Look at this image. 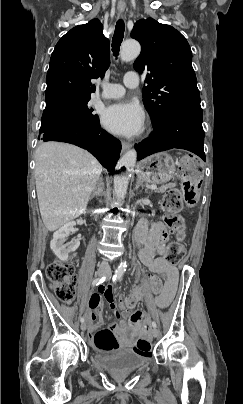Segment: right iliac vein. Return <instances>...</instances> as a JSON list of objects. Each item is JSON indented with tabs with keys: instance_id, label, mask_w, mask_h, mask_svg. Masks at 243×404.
<instances>
[{
	"instance_id": "obj_1",
	"label": "right iliac vein",
	"mask_w": 243,
	"mask_h": 404,
	"mask_svg": "<svg viewBox=\"0 0 243 404\" xmlns=\"http://www.w3.org/2000/svg\"><path fill=\"white\" fill-rule=\"evenodd\" d=\"M104 275V272H102V271H99L98 273H97V276L98 277H102ZM86 328H87V326H86V323H81V330L82 331H85L86 330Z\"/></svg>"
}]
</instances>
